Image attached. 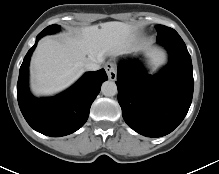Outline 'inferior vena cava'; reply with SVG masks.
Segmentation results:
<instances>
[{"instance_id":"602c4592","label":"inferior vena cava","mask_w":219,"mask_h":174,"mask_svg":"<svg viewBox=\"0 0 219 174\" xmlns=\"http://www.w3.org/2000/svg\"><path fill=\"white\" fill-rule=\"evenodd\" d=\"M103 60H101L102 62ZM84 68L87 70V71H96L100 68V65L99 63L97 62H87L85 65H84Z\"/></svg>"}]
</instances>
